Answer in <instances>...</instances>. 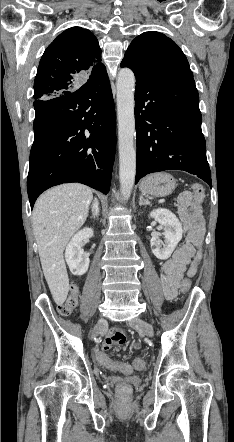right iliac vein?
I'll return each instance as SVG.
<instances>
[{"mask_svg":"<svg viewBox=\"0 0 234 442\" xmlns=\"http://www.w3.org/2000/svg\"><path fill=\"white\" fill-rule=\"evenodd\" d=\"M107 322L105 319L101 318L99 319V321L97 322V324L94 327V331H93V336H97L99 334V332L105 328Z\"/></svg>","mask_w":234,"mask_h":442,"instance_id":"obj_1","label":"right iliac vein"}]
</instances>
